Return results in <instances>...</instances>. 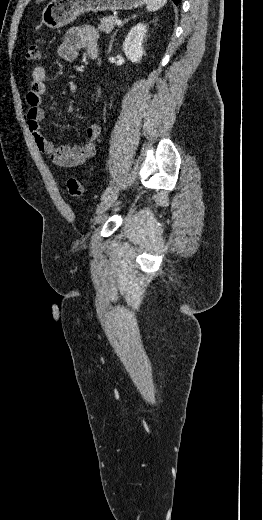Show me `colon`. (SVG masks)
<instances>
[{
	"mask_svg": "<svg viewBox=\"0 0 263 520\" xmlns=\"http://www.w3.org/2000/svg\"><path fill=\"white\" fill-rule=\"evenodd\" d=\"M26 59L37 61L40 59V50L37 43H30L26 52ZM66 188L71 196H80L82 194V186L78 179L70 177L66 180Z\"/></svg>",
	"mask_w": 263,
	"mask_h": 520,
	"instance_id": "colon-1",
	"label": "colon"
}]
</instances>
